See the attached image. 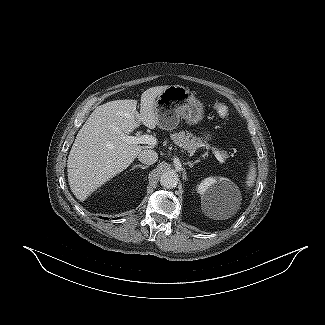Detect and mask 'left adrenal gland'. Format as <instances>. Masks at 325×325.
Instances as JSON below:
<instances>
[{"instance_id":"obj_1","label":"left adrenal gland","mask_w":325,"mask_h":325,"mask_svg":"<svg viewBox=\"0 0 325 325\" xmlns=\"http://www.w3.org/2000/svg\"><path fill=\"white\" fill-rule=\"evenodd\" d=\"M199 162V160H196V161H194V162H191V161H188L187 162V164H188V166L190 167V168H192L196 163H198Z\"/></svg>"}]
</instances>
